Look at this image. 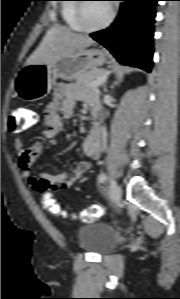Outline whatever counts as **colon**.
Wrapping results in <instances>:
<instances>
[{"instance_id": "obj_1", "label": "colon", "mask_w": 180, "mask_h": 299, "mask_svg": "<svg viewBox=\"0 0 180 299\" xmlns=\"http://www.w3.org/2000/svg\"><path fill=\"white\" fill-rule=\"evenodd\" d=\"M38 122V114L26 108H15L11 111L8 120V128L12 133L22 132ZM35 190L42 195L43 206L55 216H64L65 212L54 202L51 197L52 185L44 182H37ZM105 209L101 204H92L85 208L79 217L84 222L102 216Z\"/></svg>"}]
</instances>
